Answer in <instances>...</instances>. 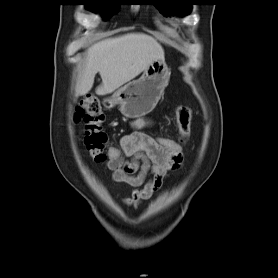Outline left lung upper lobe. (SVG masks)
Here are the masks:
<instances>
[{
	"mask_svg": "<svg viewBox=\"0 0 278 278\" xmlns=\"http://www.w3.org/2000/svg\"><path fill=\"white\" fill-rule=\"evenodd\" d=\"M160 11L164 9L170 11L173 14H188L191 11V4L186 0H157L154 4Z\"/></svg>",
	"mask_w": 278,
	"mask_h": 278,
	"instance_id": "5c2ea615",
	"label": "left lung upper lobe"
}]
</instances>
